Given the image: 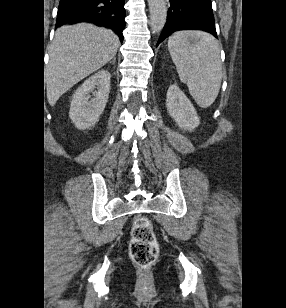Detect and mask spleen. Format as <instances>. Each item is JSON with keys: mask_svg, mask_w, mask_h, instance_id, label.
I'll return each instance as SVG.
<instances>
[{"mask_svg": "<svg viewBox=\"0 0 286 308\" xmlns=\"http://www.w3.org/2000/svg\"><path fill=\"white\" fill-rule=\"evenodd\" d=\"M195 39L190 43V39ZM168 49L180 80L195 102L210 107L218 96L222 63L218 41L203 31H177L168 39Z\"/></svg>", "mask_w": 286, "mask_h": 308, "instance_id": "3e777b00", "label": "spleen"}]
</instances>
